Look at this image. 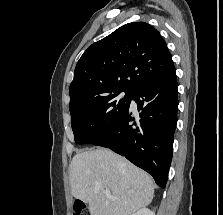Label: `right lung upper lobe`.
<instances>
[{"label":"right lung upper lobe","mask_w":223,"mask_h":215,"mask_svg":"<svg viewBox=\"0 0 223 215\" xmlns=\"http://www.w3.org/2000/svg\"><path fill=\"white\" fill-rule=\"evenodd\" d=\"M174 72L171 54L159 32L145 22L128 23L83 53L70 84L69 109L115 91L133 93Z\"/></svg>","instance_id":"obj_1"}]
</instances>
